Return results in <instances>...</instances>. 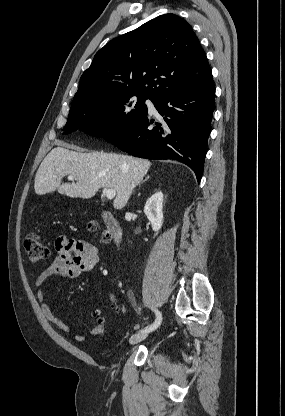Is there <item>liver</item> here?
Returning a JSON list of instances; mask_svg holds the SVG:
<instances>
[{"instance_id":"obj_1","label":"liver","mask_w":285,"mask_h":416,"mask_svg":"<svg viewBox=\"0 0 285 416\" xmlns=\"http://www.w3.org/2000/svg\"><path fill=\"white\" fill-rule=\"evenodd\" d=\"M53 148L41 162L34 180L35 194L43 196L59 192L69 198H93L100 188L116 190L113 202L115 210H122L132 190L142 182L151 162L132 156L104 154V152H72L77 146L55 142ZM71 148V150H67ZM64 176H74L76 184H61Z\"/></svg>"}]
</instances>
